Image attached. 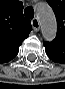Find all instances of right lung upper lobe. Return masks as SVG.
Returning <instances> with one entry per match:
<instances>
[{"instance_id": "right-lung-upper-lobe-1", "label": "right lung upper lobe", "mask_w": 65, "mask_h": 89, "mask_svg": "<svg viewBox=\"0 0 65 89\" xmlns=\"http://www.w3.org/2000/svg\"><path fill=\"white\" fill-rule=\"evenodd\" d=\"M31 30V21L24 17L21 1L0 0V63L17 55Z\"/></svg>"}]
</instances>
